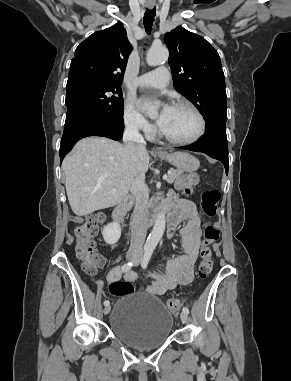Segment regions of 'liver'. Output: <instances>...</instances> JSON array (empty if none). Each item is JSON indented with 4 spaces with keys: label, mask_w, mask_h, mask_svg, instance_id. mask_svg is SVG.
I'll return each mask as SVG.
<instances>
[{
    "label": "liver",
    "mask_w": 291,
    "mask_h": 381,
    "mask_svg": "<svg viewBox=\"0 0 291 381\" xmlns=\"http://www.w3.org/2000/svg\"><path fill=\"white\" fill-rule=\"evenodd\" d=\"M149 155L132 142L120 144L104 137L80 140L62 163L72 211L86 216L118 205L137 173L145 174Z\"/></svg>",
    "instance_id": "obj_1"
}]
</instances>
